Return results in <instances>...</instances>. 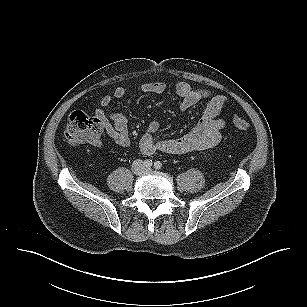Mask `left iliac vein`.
I'll list each match as a JSON object with an SVG mask.
<instances>
[{
	"instance_id": "obj_1",
	"label": "left iliac vein",
	"mask_w": 307,
	"mask_h": 307,
	"mask_svg": "<svg viewBox=\"0 0 307 307\" xmlns=\"http://www.w3.org/2000/svg\"><path fill=\"white\" fill-rule=\"evenodd\" d=\"M145 171L149 172V171H151V169H150V168H147V169H145Z\"/></svg>"
}]
</instances>
